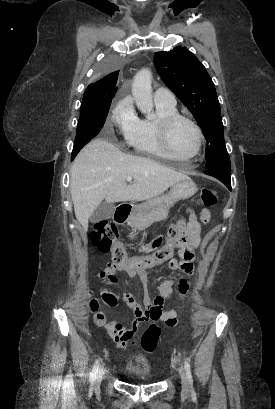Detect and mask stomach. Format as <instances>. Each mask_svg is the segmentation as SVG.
<instances>
[{"instance_id": "0dacf381", "label": "stomach", "mask_w": 275, "mask_h": 409, "mask_svg": "<svg viewBox=\"0 0 275 409\" xmlns=\"http://www.w3.org/2000/svg\"><path fill=\"white\" fill-rule=\"evenodd\" d=\"M197 190V184L193 182L192 178H183V180H178V182H175V184L171 186V190H169L168 194L155 196V198H150V200L144 202V205L135 207V209H133V215H137V213L150 215L154 209L161 207V205H164V207H173L174 202L182 200V198H190Z\"/></svg>"}]
</instances>
